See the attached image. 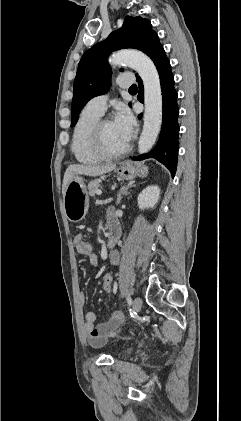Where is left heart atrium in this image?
Listing matches in <instances>:
<instances>
[{"instance_id":"obj_1","label":"left heart atrium","mask_w":241,"mask_h":421,"mask_svg":"<svg viewBox=\"0 0 241 421\" xmlns=\"http://www.w3.org/2000/svg\"><path fill=\"white\" fill-rule=\"evenodd\" d=\"M113 123L128 142L133 136L136 127V122L131 112L127 108H120Z\"/></svg>"}]
</instances>
